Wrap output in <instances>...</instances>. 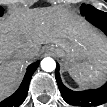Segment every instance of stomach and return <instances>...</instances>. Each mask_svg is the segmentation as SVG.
<instances>
[{"instance_id": "1", "label": "stomach", "mask_w": 107, "mask_h": 107, "mask_svg": "<svg viewBox=\"0 0 107 107\" xmlns=\"http://www.w3.org/2000/svg\"><path fill=\"white\" fill-rule=\"evenodd\" d=\"M81 35L84 37L89 36V31L84 29L83 32L78 29L77 31L71 32L66 40H61L58 43L47 46L48 52L63 58L68 67L87 62L80 55L83 43L79 44L78 42L79 36Z\"/></svg>"}]
</instances>
